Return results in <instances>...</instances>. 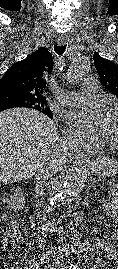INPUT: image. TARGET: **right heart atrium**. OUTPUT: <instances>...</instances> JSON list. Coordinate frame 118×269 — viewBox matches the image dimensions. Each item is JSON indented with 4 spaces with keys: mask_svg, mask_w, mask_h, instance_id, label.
I'll return each mask as SVG.
<instances>
[{
    "mask_svg": "<svg viewBox=\"0 0 118 269\" xmlns=\"http://www.w3.org/2000/svg\"><path fill=\"white\" fill-rule=\"evenodd\" d=\"M65 136L69 142H71L73 145H80L83 143V139L78 134L74 133L71 130L65 131Z\"/></svg>",
    "mask_w": 118,
    "mask_h": 269,
    "instance_id": "obj_1",
    "label": "right heart atrium"
}]
</instances>
